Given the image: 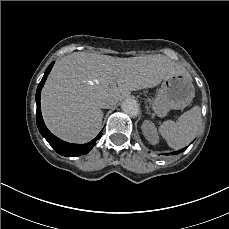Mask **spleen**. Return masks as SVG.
Segmentation results:
<instances>
[{
  "instance_id": "obj_1",
  "label": "spleen",
  "mask_w": 229,
  "mask_h": 229,
  "mask_svg": "<svg viewBox=\"0 0 229 229\" xmlns=\"http://www.w3.org/2000/svg\"><path fill=\"white\" fill-rule=\"evenodd\" d=\"M202 122L201 110L198 106L183 113L177 121H165L159 127V134L174 149L187 146L196 136Z\"/></svg>"
}]
</instances>
